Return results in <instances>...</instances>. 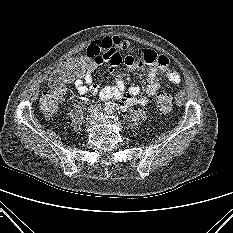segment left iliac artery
Here are the masks:
<instances>
[{"label": "left iliac artery", "instance_id": "obj_1", "mask_svg": "<svg viewBox=\"0 0 233 233\" xmlns=\"http://www.w3.org/2000/svg\"><path fill=\"white\" fill-rule=\"evenodd\" d=\"M112 110H114V108ZM112 110H110V113H112Z\"/></svg>", "mask_w": 233, "mask_h": 233}]
</instances>
